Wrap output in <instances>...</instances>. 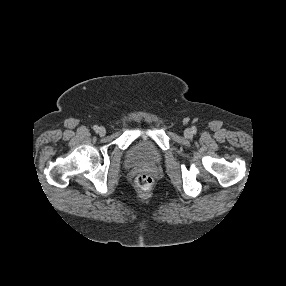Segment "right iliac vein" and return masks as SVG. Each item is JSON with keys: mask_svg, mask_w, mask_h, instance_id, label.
I'll return each mask as SVG.
<instances>
[{"mask_svg": "<svg viewBox=\"0 0 286 286\" xmlns=\"http://www.w3.org/2000/svg\"><path fill=\"white\" fill-rule=\"evenodd\" d=\"M97 132L100 136H104L106 134V129L104 127H99Z\"/></svg>", "mask_w": 286, "mask_h": 286, "instance_id": "63e3f726", "label": "right iliac vein"}]
</instances>
